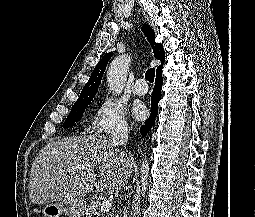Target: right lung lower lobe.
<instances>
[{
  "mask_svg": "<svg viewBox=\"0 0 255 217\" xmlns=\"http://www.w3.org/2000/svg\"><path fill=\"white\" fill-rule=\"evenodd\" d=\"M163 84L162 71L156 73L155 87L151 97V115L147 120L146 124L140 129V133L144 136L152 128L155 118L158 114V102L161 99V88Z\"/></svg>",
  "mask_w": 255,
  "mask_h": 217,
  "instance_id": "right-lung-lower-lobe-1",
  "label": "right lung lower lobe"
}]
</instances>
